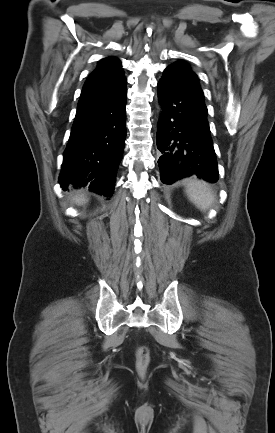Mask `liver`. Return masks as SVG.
Wrapping results in <instances>:
<instances>
[{
	"label": "liver",
	"instance_id": "6515ba94",
	"mask_svg": "<svg viewBox=\"0 0 275 433\" xmlns=\"http://www.w3.org/2000/svg\"><path fill=\"white\" fill-rule=\"evenodd\" d=\"M74 201L78 204V205H82L84 203H86V198L84 197V195H80V196H76L74 198Z\"/></svg>",
	"mask_w": 275,
	"mask_h": 433
}]
</instances>
